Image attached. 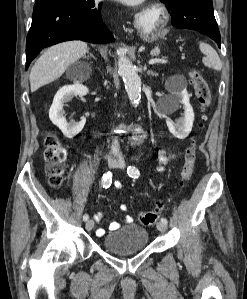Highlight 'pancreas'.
Wrapping results in <instances>:
<instances>
[{
	"label": "pancreas",
	"instance_id": "pancreas-1",
	"mask_svg": "<svg viewBox=\"0 0 247 299\" xmlns=\"http://www.w3.org/2000/svg\"><path fill=\"white\" fill-rule=\"evenodd\" d=\"M158 52H159L158 50H154V51H153V55L158 54Z\"/></svg>",
	"mask_w": 247,
	"mask_h": 299
}]
</instances>
